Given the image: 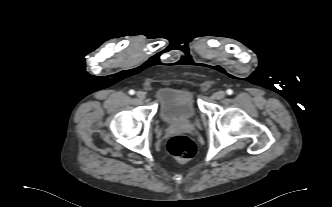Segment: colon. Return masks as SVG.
<instances>
[{"instance_id":"5ec220e1","label":"colon","mask_w":332,"mask_h":207,"mask_svg":"<svg viewBox=\"0 0 332 207\" xmlns=\"http://www.w3.org/2000/svg\"><path fill=\"white\" fill-rule=\"evenodd\" d=\"M168 151L179 160L191 159L196 152L194 142L185 135H176L169 139L167 144Z\"/></svg>"}]
</instances>
